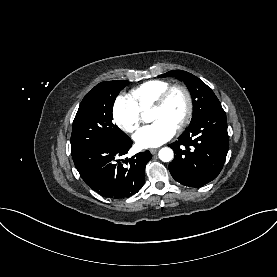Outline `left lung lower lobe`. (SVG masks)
Segmentation results:
<instances>
[{"instance_id":"1","label":"left lung lower lobe","mask_w":277,"mask_h":277,"mask_svg":"<svg viewBox=\"0 0 277 277\" xmlns=\"http://www.w3.org/2000/svg\"><path fill=\"white\" fill-rule=\"evenodd\" d=\"M175 152L169 164L172 177L189 187H201L220 173L229 147L226 114L215 107L190 124L169 145Z\"/></svg>"}]
</instances>
